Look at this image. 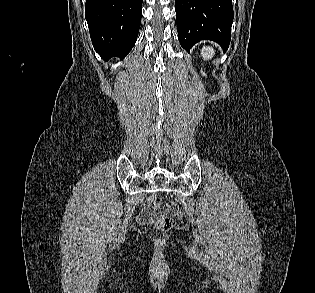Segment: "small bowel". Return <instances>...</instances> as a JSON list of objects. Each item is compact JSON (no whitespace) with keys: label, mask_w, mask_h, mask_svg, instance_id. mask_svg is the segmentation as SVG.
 Masks as SVG:
<instances>
[{"label":"small bowel","mask_w":315,"mask_h":293,"mask_svg":"<svg viewBox=\"0 0 315 293\" xmlns=\"http://www.w3.org/2000/svg\"><path fill=\"white\" fill-rule=\"evenodd\" d=\"M156 213L151 209L143 210L138 217V221L142 224L151 223L156 219Z\"/></svg>","instance_id":"1"}]
</instances>
